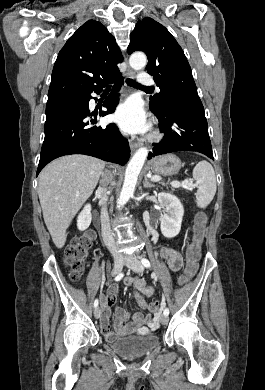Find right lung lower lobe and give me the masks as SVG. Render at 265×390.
<instances>
[{
	"instance_id": "98d812e1",
	"label": "right lung lower lobe",
	"mask_w": 265,
	"mask_h": 390,
	"mask_svg": "<svg viewBox=\"0 0 265 390\" xmlns=\"http://www.w3.org/2000/svg\"><path fill=\"white\" fill-rule=\"evenodd\" d=\"M109 82H114L111 95L103 106L107 111L89 110V100L94 91L100 93ZM103 86L81 98L61 99L47 102L45 138L41 149L37 175L46 164L68 154H86L105 161L125 165L130 157L128 141L120 134L115 124L97 125V114L113 113L119 102L116 93L123 83L121 74Z\"/></svg>"
}]
</instances>
